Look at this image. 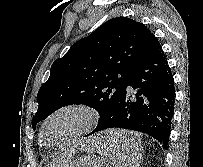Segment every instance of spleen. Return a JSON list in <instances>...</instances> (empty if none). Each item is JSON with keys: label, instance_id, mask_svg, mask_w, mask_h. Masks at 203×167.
I'll list each match as a JSON object with an SVG mask.
<instances>
[{"label": "spleen", "instance_id": "obj_1", "mask_svg": "<svg viewBox=\"0 0 203 167\" xmlns=\"http://www.w3.org/2000/svg\"><path fill=\"white\" fill-rule=\"evenodd\" d=\"M111 142H116V140ZM97 151L109 158L114 167H138L142 158L143 148L141 139L138 136L131 147H124L123 144L116 149L101 146Z\"/></svg>", "mask_w": 203, "mask_h": 167}]
</instances>
